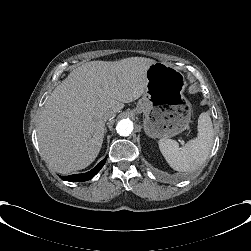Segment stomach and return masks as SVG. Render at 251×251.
Returning <instances> with one entry per match:
<instances>
[{
  "label": "stomach",
  "instance_id": "stomach-1",
  "mask_svg": "<svg viewBox=\"0 0 251 251\" xmlns=\"http://www.w3.org/2000/svg\"><path fill=\"white\" fill-rule=\"evenodd\" d=\"M147 87L135 111L144 113V131L151 138L167 139L189 126L191 104L183 95L184 75L172 66L154 63L147 70Z\"/></svg>",
  "mask_w": 251,
  "mask_h": 251
}]
</instances>
